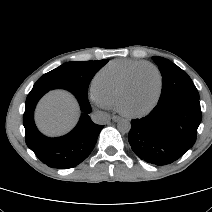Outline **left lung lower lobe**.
<instances>
[{
    "label": "left lung lower lobe",
    "mask_w": 212,
    "mask_h": 212,
    "mask_svg": "<svg viewBox=\"0 0 212 212\" xmlns=\"http://www.w3.org/2000/svg\"><path fill=\"white\" fill-rule=\"evenodd\" d=\"M201 119L199 99L175 96L158 101L149 115L131 121L128 141L141 160L167 165L194 145Z\"/></svg>",
    "instance_id": "obj_1"
}]
</instances>
